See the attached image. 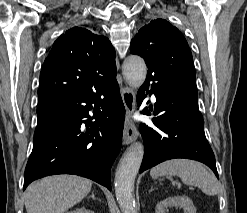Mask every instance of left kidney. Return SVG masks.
<instances>
[{
    "instance_id": "5707ae66",
    "label": "left kidney",
    "mask_w": 247,
    "mask_h": 213,
    "mask_svg": "<svg viewBox=\"0 0 247 213\" xmlns=\"http://www.w3.org/2000/svg\"><path fill=\"white\" fill-rule=\"evenodd\" d=\"M169 207L182 208L184 213H196L192 200L187 196L166 198L156 205L155 213H167Z\"/></svg>"
}]
</instances>
